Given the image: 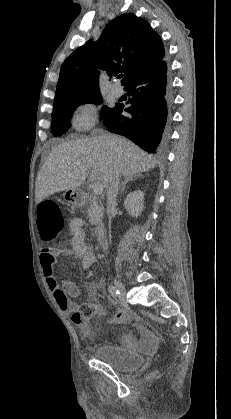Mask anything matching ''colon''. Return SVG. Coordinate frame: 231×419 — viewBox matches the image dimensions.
Listing matches in <instances>:
<instances>
[{"mask_svg": "<svg viewBox=\"0 0 231 419\" xmlns=\"http://www.w3.org/2000/svg\"><path fill=\"white\" fill-rule=\"evenodd\" d=\"M39 227L44 241H53L63 227L64 220L59 205L52 200L43 201L38 208ZM98 309L91 303L82 304L78 308L80 320L90 318Z\"/></svg>", "mask_w": 231, "mask_h": 419, "instance_id": "5ec220e1", "label": "colon"}]
</instances>
